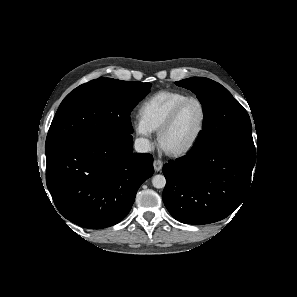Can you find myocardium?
<instances>
[{
    "mask_svg": "<svg viewBox=\"0 0 297 297\" xmlns=\"http://www.w3.org/2000/svg\"><path fill=\"white\" fill-rule=\"evenodd\" d=\"M191 102H196L200 109H201V122L199 125V128L195 134V136L193 137V139L189 142L188 145H186L185 147H183L182 149L179 150H167L163 147L162 145V140L164 135L172 128V126L175 124L180 112L182 111V109L189 103ZM206 123H207V111L206 108L203 104V102L196 98V97H189L185 100H183L182 102H180L170 113V115L168 116V118L165 120V122L161 125V127L158 129L157 131V145L159 147V149L161 151H163L166 155L173 157V158H179V157H183L187 154H189L198 144L200 138L203 135V132L205 130L206 127Z\"/></svg>",
    "mask_w": 297,
    "mask_h": 297,
    "instance_id": "1",
    "label": "myocardium"
}]
</instances>
